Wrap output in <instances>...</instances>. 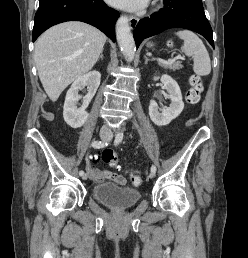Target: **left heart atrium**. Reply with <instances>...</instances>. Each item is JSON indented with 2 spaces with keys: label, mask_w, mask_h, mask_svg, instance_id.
<instances>
[{
  "label": "left heart atrium",
  "mask_w": 248,
  "mask_h": 258,
  "mask_svg": "<svg viewBox=\"0 0 248 258\" xmlns=\"http://www.w3.org/2000/svg\"><path fill=\"white\" fill-rule=\"evenodd\" d=\"M111 5L127 10H140L144 8L148 0H107Z\"/></svg>",
  "instance_id": "left-heart-atrium-1"
}]
</instances>
